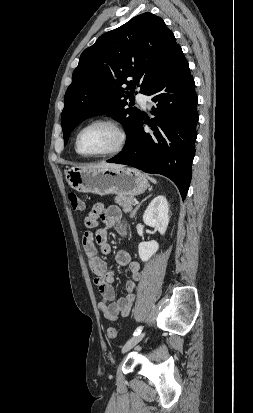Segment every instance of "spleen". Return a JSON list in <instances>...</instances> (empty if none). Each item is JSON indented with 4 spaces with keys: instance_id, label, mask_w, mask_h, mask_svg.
Instances as JSON below:
<instances>
[{
    "instance_id": "3e777b00",
    "label": "spleen",
    "mask_w": 253,
    "mask_h": 413,
    "mask_svg": "<svg viewBox=\"0 0 253 413\" xmlns=\"http://www.w3.org/2000/svg\"><path fill=\"white\" fill-rule=\"evenodd\" d=\"M147 178H148L151 182L156 183V180H155L154 178H151V177H149V176H147Z\"/></svg>"
}]
</instances>
